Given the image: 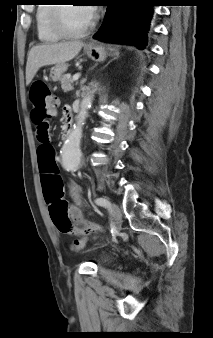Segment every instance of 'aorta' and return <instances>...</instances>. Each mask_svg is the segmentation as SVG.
Returning <instances> with one entry per match:
<instances>
[{"label": "aorta", "mask_w": 213, "mask_h": 338, "mask_svg": "<svg viewBox=\"0 0 213 338\" xmlns=\"http://www.w3.org/2000/svg\"><path fill=\"white\" fill-rule=\"evenodd\" d=\"M93 91H89L82 99L76 123L68 135L62 148V166L67 171H76L80 164L82 153L80 149L83 126L92 105Z\"/></svg>", "instance_id": "aorta-1"}]
</instances>
